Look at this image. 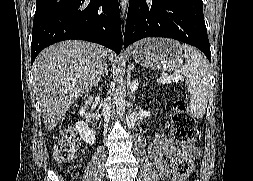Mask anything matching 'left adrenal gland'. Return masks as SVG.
I'll return each instance as SVG.
<instances>
[{
	"mask_svg": "<svg viewBox=\"0 0 253 181\" xmlns=\"http://www.w3.org/2000/svg\"><path fill=\"white\" fill-rule=\"evenodd\" d=\"M133 94H134V92L132 91V92H131V96H132Z\"/></svg>",
	"mask_w": 253,
	"mask_h": 181,
	"instance_id": "a2214340",
	"label": "left adrenal gland"
}]
</instances>
